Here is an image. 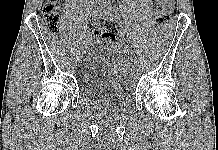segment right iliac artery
Wrapping results in <instances>:
<instances>
[{
	"instance_id": "right-iliac-artery-1",
	"label": "right iliac artery",
	"mask_w": 218,
	"mask_h": 150,
	"mask_svg": "<svg viewBox=\"0 0 218 150\" xmlns=\"http://www.w3.org/2000/svg\"><path fill=\"white\" fill-rule=\"evenodd\" d=\"M98 23H99V18L93 17V18H92L91 25H92V26H96V25H98ZM85 42L87 43V42H88V39H85V40H84V43H85ZM81 47H85V48L87 49V44H82Z\"/></svg>"
}]
</instances>
